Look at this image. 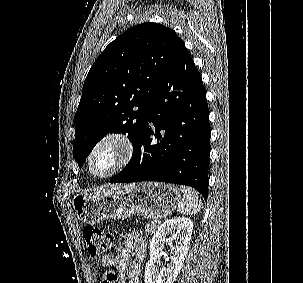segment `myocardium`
<instances>
[{
    "mask_svg": "<svg viewBox=\"0 0 303 283\" xmlns=\"http://www.w3.org/2000/svg\"><path fill=\"white\" fill-rule=\"evenodd\" d=\"M106 145H111L116 149L117 155L112 166L104 173L93 171L92 162L98 150ZM134 154V144L132 139L124 132L109 131L100 136L91 146L86 158V169L88 174L95 179H107L123 168L131 161Z\"/></svg>",
    "mask_w": 303,
    "mask_h": 283,
    "instance_id": "f54148a6",
    "label": "myocardium"
}]
</instances>
